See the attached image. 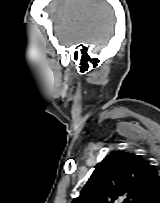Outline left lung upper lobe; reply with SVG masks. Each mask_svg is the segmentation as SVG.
<instances>
[{"instance_id":"obj_1","label":"left lung upper lobe","mask_w":160,"mask_h":203,"mask_svg":"<svg viewBox=\"0 0 160 203\" xmlns=\"http://www.w3.org/2000/svg\"><path fill=\"white\" fill-rule=\"evenodd\" d=\"M160 187V175L133 153L115 151L93 171L72 203H151Z\"/></svg>"}]
</instances>
